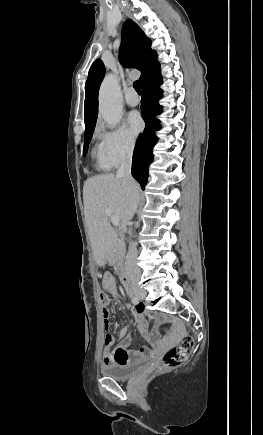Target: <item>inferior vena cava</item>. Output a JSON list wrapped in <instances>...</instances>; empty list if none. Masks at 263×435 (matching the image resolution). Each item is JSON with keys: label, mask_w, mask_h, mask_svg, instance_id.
Masks as SVG:
<instances>
[{"label": "inferior vena cava", "mask_w": 263, "mask_h": 435, "mask_svg": "<svg viewBox=\"0 0 263 435\" xmlns=\"http://www.w3.org/2000/svg\"><path fill=\"white\" fill-rule=\"evenodd\" d=\"M133 147L129 148L121 160V166L117 170V176L122 177L126 191V216L129 219L134 215L139 204L138 187L131 176ZM136 242H131L125 261V271L128 275L140 273L136 265L137 248Z\"/></svg>", "instance_id": "602c4592"}]
</instances>
